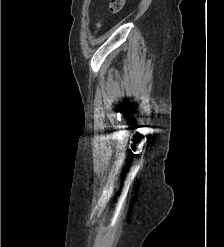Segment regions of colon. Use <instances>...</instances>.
<instances>
[{"label":"colon","mask_w":224,"mask_h":247,"mask_svg":"<svg viewBox=\"0 0 224 247\" xmlns=\"http://www.w3.org/2000/svg\"><path fill=\"white\" fill-rule=\"evenodd\" d=\"M125 3L126 0H110L109 11L113 14L118 13L123 9Z\"/></svg>","instance_id":"5ec220e1"}]
</instances>
